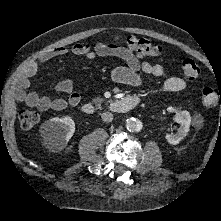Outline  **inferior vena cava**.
Listing matches in <instances>:
<instances>
[{
	"label": "inferior vena cava",
	"mask_w": 221,
	"mask_h": 221,
	"mask_svg": "<svg viewBox=\"0 0 221 221\" xmlns=\"http://www.w3.org/2000/svg\"><path fill=\"white\" fill-rule=\"evenodd\" d=\"M101 118L104 122H111L113 120V114L111 112H103Z\"/></svg>",
	"instance_id": "inferior-vena-cava-1"
}]
</instances>
